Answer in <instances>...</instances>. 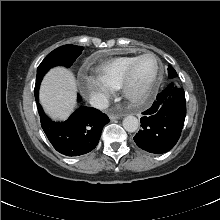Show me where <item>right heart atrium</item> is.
<instances>
[{
	"instance_id": "obj_1",
	"label": "right heart atrium",
	"mask_w": 220,
	"mask_h": 220,
	"mask_svg": "<svg viewBox=\"0 0 220 220\" xmlns=\"http://www.w3.org/2000/svg\"><path fill=\"white\" fill-rule=\"evenodd\" d=\"M82 89L89 101L98 108L105 107L115 91V88L99 76L84 77Z\"/></svg>"
}]
</instances>
